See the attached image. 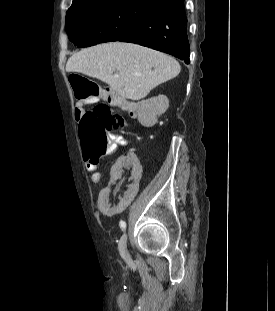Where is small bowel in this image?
<instances>
[{
	"instance_id": "1",
	"label": "small bowel",
	"mask_w": 275,
	"mask_h": 311,
	"mask_svg": "<svg viewBox=\"0 0 275 311\" xmlns=\"http://www.w3.org/2000/svg\"><path fill=\"white\" fill-rule=\"evenodd\" d=\"M89 104L79 102L75 108V119L80 120L85 107ZM123 109L131 111L126 103H120ZM140 125V124H138ZM115 141L119 146H126L128 141L125 137L117 136ZM120 160H112V169H108V176H112L114 180H131L125 185L122 194L114 199L115 194L118 193L117 187H101L98 192V197L102 200L98 201L95 207L96 213H102L103 216H120L128 204L135 198L139 191L138 180H141L144 164L138 160L135 150H124L123 155H120ZM85 168L91 175V181L95 184L99 183L102 179V174L99 172V159H92L84 155Z\"/></svg>"
}]
</instances>
